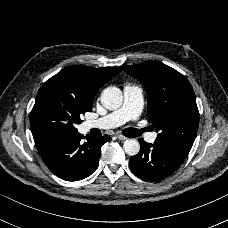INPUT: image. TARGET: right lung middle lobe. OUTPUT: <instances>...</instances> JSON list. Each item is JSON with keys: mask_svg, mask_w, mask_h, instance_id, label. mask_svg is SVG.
<instances>
[{"mask_svg": "<svg viewBox=\"0 0 228 228\" xmlns=\"http://www.w3.org/2000/svg\"><path fill=\"white\" fill-rule=\"evenodd\" d=\"M91 111L70 88L52 80L39 89L30 114V125L35 141L64 133H75L80 115Z\"/></svg>", "mask_w": 228, "mask_h": 228, "instance_id": "right-lung-middle-lobe-1", "label": "right lung middle lobe"}]
</instances>
